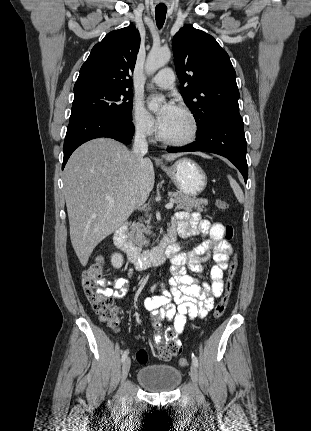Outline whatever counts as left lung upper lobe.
Segmentation results:
<instances>
[{"label": "left lung upper lobe", "mask_w": 311, "mask_h": 431, "mask_svg": "<svg viewBox=\"0 0 311 431\" xmlns=\"http://www.w3.org/2000/svg\"><path fill=\"white\" fill-rule=\"evenodd\" d=\"M180 93L194 114L197 133L214 120L239 114L236 73L225 50L209 34L184 26L172 41Z\"/></svg>", "instance_id": "1"}]
</instances>
